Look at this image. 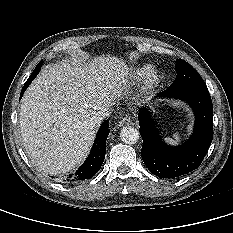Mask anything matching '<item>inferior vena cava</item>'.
Segmentation results:
<instances>
[{
	"label": "inferior vena cava",
	"instance_id": "obj_1",
	"mask_svg": "<svg viewBox=\"0 0 233 233\" xmlns=\"http://www.w3.org/2000/svg\"><path fill=\"white\" fill-rule=\"evenodd\" d=\"M112 112V108L110 105L104 106L100 111L97 112L95 115V119L99 122H101L103 119L110 116Z\"/></svg>",
	"mask_w": 233,
	"mask_h": 233
}]
</instances>
